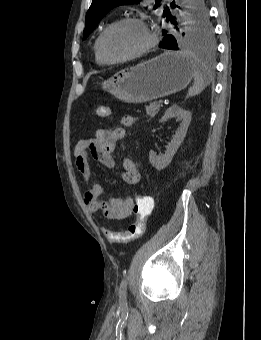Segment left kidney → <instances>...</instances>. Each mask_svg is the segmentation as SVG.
Segmentation results:
<instances>
[{"mask_svg":"<svg viewBox=\"0 0 261 340\" xmlns=\"http://www.w3.org/2000/svg\"><path fill=\"white\" fill-rule=\"evenodd\" d=\"M173 117H176L177 120H180L182 122L180 127L177 129L175 135L173 136V139L168 144L165 154L157 156L153 150H150L149 152V161L157 170H162L169 165L174 154L177 152L179 146L183 142L188 126L191 122V113L180 108L176 104L172 105L165 111L164 116L160 119L159 122H165Z\"/></svg>","mask_w":261,"mask_h":340,"instance_id":"5707ae66","label":"left kidney"}]
</instances>
